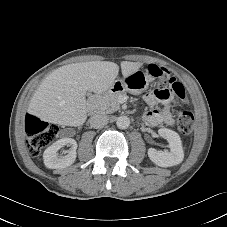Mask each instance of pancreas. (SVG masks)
<instances>
[{"mask_svg":"<svg viewBox=\"0 0 227 227\" xmlns=\"http://www.w3.org/2000/svg\"><path fill=\"white\" fill-rule=\"evenodd\" d=\"M124 92H108L103 95L96 104V110L100 113H113L120 108L119 98Z\"/></svg>","mask_w":227,"mask_h":227,"instance_id":"obj_1","label":"pancreas"}]
</instances>
